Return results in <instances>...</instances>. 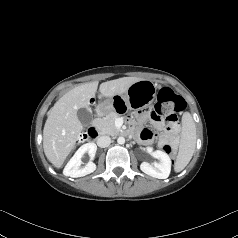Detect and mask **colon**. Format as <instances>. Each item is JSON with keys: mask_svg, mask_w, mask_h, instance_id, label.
Instances as JSON below:
<instances>
[{"mask_svg": "<svg viewBox=\"0 0 238 238\" xmlns=\"http://www.w3.org/2000/svg\"><path fill=\"white\" fill-rule=\"evenodd\" d=\"M185 107V100L176 94L172 89L165 87L159 90L157 94V101L151 110H157L163 117V121L167 125L168 129L174 130L177 128L178 124L177 114L182 112ZM88 136V133L82 134L80 141H85ZM161 147L167 154H172L174 152V144L171 142L166 141Z\"/></svg>", "mask_w": 238, "mask_h": 238, "instance_id": "5ec220e1", "label": "colon"}]
</instances>
